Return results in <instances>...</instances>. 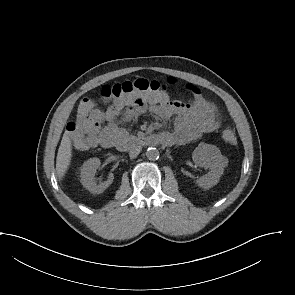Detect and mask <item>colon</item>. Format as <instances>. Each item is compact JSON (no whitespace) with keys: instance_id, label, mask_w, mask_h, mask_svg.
Masks as SVG:
<instances>
[{"instance_id":"1","label":"colon","mask_w":295,"mask_h":295,"mask_svg":"<svg viewBox=\"0 0 295 295\" xmlns=\"http://www.w3.org/2000/svg\"><path fill=\"white\" fill-rule=\"evenodd\" d=\"M164 90V86L157 81L137 79L125 81L113 85H104L99 90V95L104 100L117 99L131 93H151ZM96 108V103L92 98H85L80 102L76 122L83 123ZM221 137L228 144L236 143V134L231 127H225L221 132Z\"/></svg>"}]
</instances>
